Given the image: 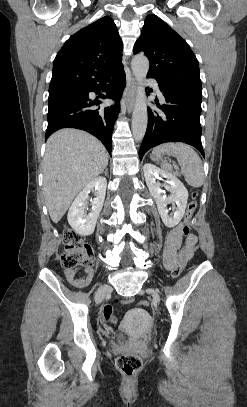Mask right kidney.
Wrapping results in <instances>:
<instances>
[{"instance_id": "ca27d5eb", "label": "right kidney", "mask_w": 247, "mask_h": 407, "mask_svg": "<svg viewBox=\"0 0 247 407\" xmlns=\"http://www.w3.org/2000/svg\"><path fill=\"white\" fill-rule=\"evenodd\" d=\"M106 187V178L97 177L87 184L75 198L68 211L67 218L69 224L77 233L88 236L94 232L98 216L104 204ZM94 189L97 191L96 197L91 203V212L87 214L85 207L87 205L88 195Z\"/></svg>"}]
</instances>
